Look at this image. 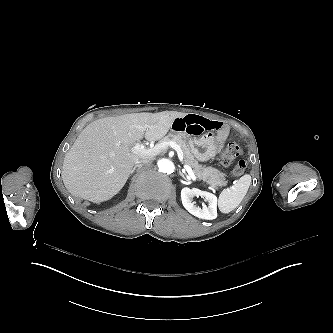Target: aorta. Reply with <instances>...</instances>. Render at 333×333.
I'll return each instance as SVG.
<instances>
[{
    "label": "aorta",
    "mask_w": 333,
    "mask_h": 333,
    "mask_svg": "<svg viewBox=\"0 0 333 333\" xmlns=\"http://www.w3.org/2000/svg\"><path fill=\"white\" fill-rule=\"evenodd\" d=\"M158 168L162 173H171L174 170V164L169 159H161L158 161Z\"/></svg>",
    "instance_id": "obj_1"
}]
</instances>
